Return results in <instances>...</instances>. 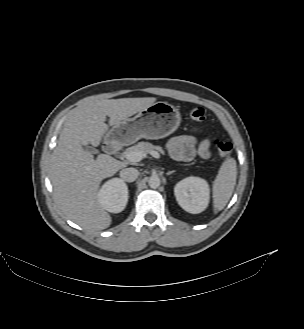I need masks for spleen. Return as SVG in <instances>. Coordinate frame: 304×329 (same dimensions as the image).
Returning <instances> with one entry per match:
<instances>
[{
  "label": "spleen",
  "mask_w": 304,
  "mask_h": 329,
  "mask_svg": "<svg viewBox=\"0 0 304 329\" xmlns=\"http://www.w3.org/2000/svg\"><path fill=\"white\" fill-rule=\"evenodd\" d=\"M236 178V160L229 157L222 163L213 182V206L215 213L222 210L228 203L236 185Z\"/></svg>",
  "instance_id": "obj_1"
}]
</instances>
